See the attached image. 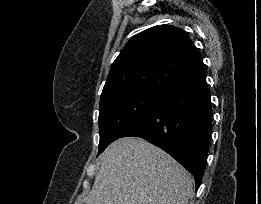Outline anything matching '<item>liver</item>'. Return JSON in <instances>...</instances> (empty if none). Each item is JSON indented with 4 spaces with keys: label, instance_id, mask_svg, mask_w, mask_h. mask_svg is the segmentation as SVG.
<instances>
[{
    "label": "liver",
    "instance_id": "6515ba94",
    "mask_svg": "<svg viewBox=\"0 0 261 204\" xmlns=\"http://www.w3.org/2000/svg\"><path fill=\"white\" fill-rule=\"evenodd\" d=\"M101 159L91 191L76 204H188L192 196L193 177L144 139H118Z\"/></svg>",
    "mask_w": 261,
    "mask_h": 204
}]
</instances>
